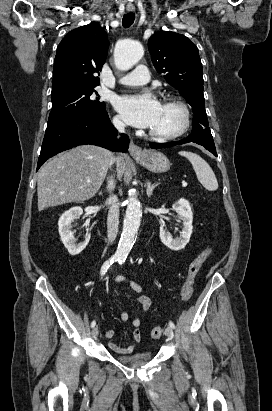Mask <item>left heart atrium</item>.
<instances>
[{
    "label": "left heart atrium",
    "instance_id": "39dd6f15",
    "mask_svg": "<svg viewBox=\"0 0 272 411\" xmlns=\"http://www.w3.org/2000/svg\"><path fill=\"white\" fill-rule=\"evenodd\" d=\"M161 104L150 93L117 97L115 108L130 125L151 128L159 114Z\"/></svg>",
    "mask_w": 272,
    "mask_h": 411
}]
</instances>
